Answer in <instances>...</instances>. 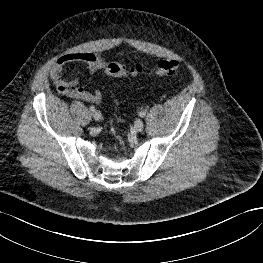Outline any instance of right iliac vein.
Here are the masks:
<instances>
[{
  "instance_id": "right-iliac-vein-1",
  "label": "right iliac vein",
  "mask_w": 263,
  "mask_h": 263,
  "mask_svg": "<svg viewBox=\"0 0 263 263\" xmlns=\"http://www.w3.org/2000/svg\"><path fill=\"white\" fill-rule=\"evenodd\" d=\"M92 115H93L94 120L96 121L101 119V113L99 111H94Z\"/></svg>"
}]
</instances>
